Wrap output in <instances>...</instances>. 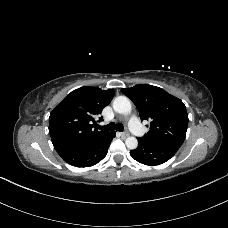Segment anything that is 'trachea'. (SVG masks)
Segmentation results:
<instances>
[{
    "mask_svg": "<svg viewBox=\"0 0 228 228\" xmlns=\"http://www.w3.org/2000/svg\"><path fill=\"white\" fill-rule=\"evenodd\" d=\"M97 128L103 131H112V130L123 131L124 130V127L121 123L115 124L113 122L105 126L98 125Z\"/></svg>",
    "mask_w": 228,
    "mask_h": 228,
    "instance_id": "1",
    "label": "trachea"
}]
</instances>
